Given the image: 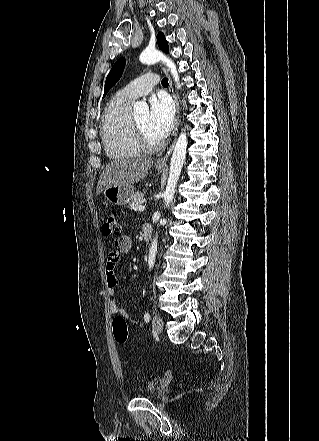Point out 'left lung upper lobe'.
Returning a JSON list of instances; mask_svg holds the SVG:
<instances>
[{
    "mask_svg": "<svg viewBox=\"0 0 319 441\" xmlns=\"http://www.w3.org/2000/svg\"><path fill=\"white\" fill-rule=\"evenodd\" d=\"M157 42H158V47L168 53L169 52V47H168V43L165 39V36L162 32H159L157 35ZM125 67V58L121 57L112 67V69L110 70L106 81H105V87H104V96L107 94V92L117 83V81L120 79V77L122 76L123 70ZM103 96V97H104Z\"/></svg>",
    "mask_w": 319,
    "mask_h": 441,
    "instance_id": "5c2ea615",
    "label": "left lung upper lobe"
}]
</instances>
